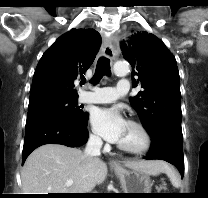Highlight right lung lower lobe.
<instances>
[{
  "label": "right lung lower lobe",
  "instance_id": "right-lung-lower-lobe-1",
  "mask_svg": "<svg viewBox=\"0 0 208 198\" xmlns=\"http://www.w3.org/2000/svg\"><path fill=\"white\" fill-rule=\"evenodd\" d=\"M88 139L87 124H78L61 116L40 117L26 123L22 164L37 147L45 144H62L79 147Z\"/></svg>",
  "mask_w": 208,
  "mask_h": 198
}]
</instances>
